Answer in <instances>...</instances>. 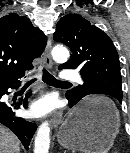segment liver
I'll return each instance as SVG.
<instances>
[{
    "label": "liver",
    "mask_w": 130,
    "mask_h": 153,
    "mask_svg": "<svg viewBox=\"0 0 130 153\" xmlns=\"http://www.w3.org/2000/svg\"><path fill=\"white\" fill-rule=\"evenodd\" d=\"M18 138L6 127L0 125V153H19Z\"/></svg>",
    "instance_id": "6515ba94"
}]
</instances>
